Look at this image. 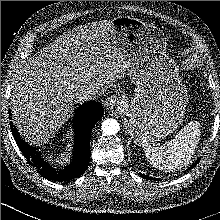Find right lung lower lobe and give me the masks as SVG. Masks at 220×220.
<instances>
[{"label":"right lung lower lobe","mask_w":220,"mask_h":220,"mask_svg":"<svg viewBox=\"0 0 220 220\" xmlns=\"http://www.w3.org/2000/svg\"><path fill=\"white\" fill-rule=\"evenodd\" d=\"M9 115L11 113L9 112ZM104 115L100 103L88 101L81 105L75 113L74 126V151L70 165L64 169H55L42 159L37 148L28 145L18 133L16 127L10 122L11 131L21 152L33 168L44 178L54 181L71 180L79 177L87 169L90 161V138L96 122Z\"/></svg>","instance_id":"obj_1"}]
</instances>
